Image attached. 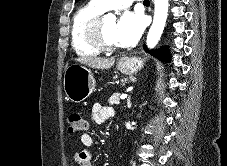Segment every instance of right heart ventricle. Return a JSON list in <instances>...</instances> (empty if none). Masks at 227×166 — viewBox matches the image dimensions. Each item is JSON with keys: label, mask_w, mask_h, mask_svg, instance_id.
I'll return each instance as SVG.
<instances>
[{"label": "right heart ventricle", "mask_w": 227, "mask_h": 166, "mask_svg": "<svg viewBox=\"0 0 227 166\" xmlns=\"http://www.w3.org/2000/svg\"><path fill=\"white\" fill-rule=\"evenodd\" d=\"M105 11L93 0H90L77 10L71 24V45L76 54L81 56L99 54L100 51L89 43L85 29L91 19Z\"/></svg>", "instance_id": "right-heart-ventricle-1"}]
</instances>
